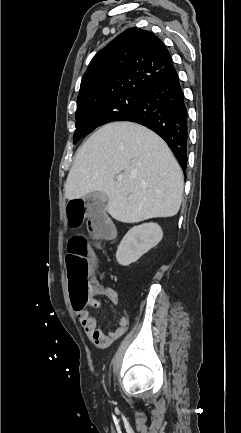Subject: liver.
I'll return each mask as SVG.
<instances>
[{
	"label": "liver",
	"mask_w": 241,
	"mask_h": 433,
	"mask_svg": "<svg viewBox=\"0 0 241 433\" xmlns=\"http://www.w3.org/2000/svg\"><path fill=\"white\" fill-rule=\"evenodd\" d=\"M122 176V180H116ZM184 188L182 170L167 144L148 128L112 122L77 150L65 184L68 200L99 191L117 221L175 216Z\"/></svg>",
	"instance_id": "obj_1"
}]
</instances>
